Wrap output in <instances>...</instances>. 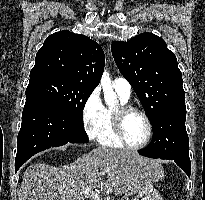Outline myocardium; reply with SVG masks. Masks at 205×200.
I'll return each instance as SVG.
<instances>
[{
	"label": "myocardium",
	"mask_w": 205,
	"mask_h": 200,
	"mask_svg": "<svg viewBox=\"0 0 205 200\" xmlns=\"http://www.w3.org/2000/svg\"><path fill=\"white\" fill-rule=\"evenodd\" d=\"M131 114H138L140 115L146 122L147 124V137L145 139V141L139 145H132L130 144L126 137H125V133H124V122L126 120V118L131 115ZM112 125H113V130L114 133L117 137V139L121 142V144L128 148V149H132V150H140L144 147H146L153 136V125L152 122L149 118V116L141 109L134 107L130 104H121L116 110L113 111L112 113Z\"/></svg>",
	"instance_id": "myocardium-1"
}]
</instances>
